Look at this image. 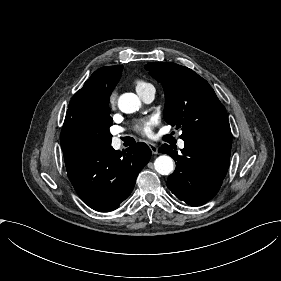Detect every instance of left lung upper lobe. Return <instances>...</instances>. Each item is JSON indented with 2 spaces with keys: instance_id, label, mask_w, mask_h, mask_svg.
<instances>
[{
  "instance_id": "obj_1",
  "label": "left lung upper lobe",
  "mask_w": 281,
  "mask_h": 281,
  "mask_svg": "<svg viewBox=\"0 0 281 281\" xmlns=\"http://www.w3.org/2000/svg\"><path fill=\"white\" fill-rule=\"evenodd\" d=\"M145 68L163 85L164 119L182 129L181 139H231L226 110L206 80L170 62L148 63Z\"/></svg>"
}]
</instances>
